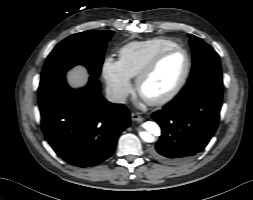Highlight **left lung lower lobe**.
Masks as SVG:
<instances>
[{
	"label": "left lung lower lobe",
	"instance_id": "1",
	"mask_svg": "<svg viewBox=\"0 0 253 200\" xmlns=\"http://www.w3.org/2000/svg\"><path fill=\"white\" fill-rule=\"evenodd\" d=\"M222 96V87L205 86L187 97H175L154 112L151 117L161 127L162 136L151 155L178 164L202 151L218 127Z\"/></svg>",
	"mask_w": 253,
	"mask_h": 200
}]
</instances>
